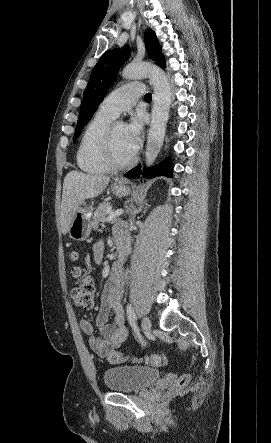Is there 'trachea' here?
I'll return each instance as SVG.
<instances>
[{"label":"trachea","instance_id":"1","mask_svg":"<svg viewBox=\"0 0 271 443\" xmlns=\"http://www.w3.org/2000/svg\"><path fill=\"white\" fill-rule=\"evenodd\" d=\"M145 100L146 101H151L152 100V95H151V93H146V95H145Z\"/></svg>","mask_w":271,"mask_h":443}]
</instances>
